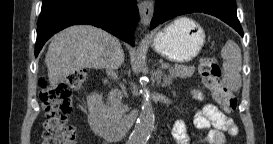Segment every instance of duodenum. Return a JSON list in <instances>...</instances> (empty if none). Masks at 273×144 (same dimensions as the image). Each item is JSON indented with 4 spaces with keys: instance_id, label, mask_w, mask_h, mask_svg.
Masks as SVG:
<instances>
[{
    "instance_id": "duodenum-1",
    "label": "duodenum",
    "mask_w": 273,
    "mask_h": 144,
    "mask_svg": "<svg viewBox=\"0 0 273 144\" xmlns=\"http://www.w3.org/2000/svg\"><path fill=\"white\" fill-rule=\"evenodd\" d=\"M87 117L92 131L108 142H117L126 133V127L123 124L113 122L107 115L99 90H93L90 93Z\"/></svg>"
}]
</instances>
